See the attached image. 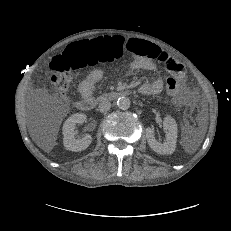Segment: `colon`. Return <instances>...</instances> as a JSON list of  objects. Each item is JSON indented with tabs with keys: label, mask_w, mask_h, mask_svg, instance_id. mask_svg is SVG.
Returning a JSON list of instances; mask_svg holds the SVG:
<instances>
[{
	"label": "colon",
	"mask_w": 231,
	"mask_h": 231,
	"mask_svg": "<svg viewBox=\"0 0 231 231\" xmlns=\"http://www.w3.org/2000/svg\"><path fill=\"white\" fill-rule=\"evenodd\" d=\"M124 48L125 40L120 36L70 45L62 55L52 59L50 82L59 94L64 95L72 82L73 71L85 65L118 60L123 56ZM166 89L171 95L177 93L178 82L175 77L166 80Z\"/></svg>",
	"instance_id": "colon-1"
}]
</instances>
